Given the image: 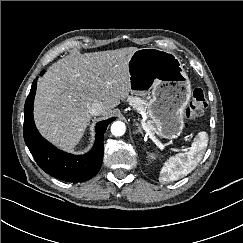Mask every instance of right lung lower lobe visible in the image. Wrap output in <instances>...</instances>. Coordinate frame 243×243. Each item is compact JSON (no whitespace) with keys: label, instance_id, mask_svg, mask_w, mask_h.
Masks as SVG:
<instances>
[{"label":"right lung lower lobe","instance_id":"obj_1","mask_svg":"<svg viewBox=\"0 0 243 243\" xmlns=\"http://www.w3.org/2000/svg\"><path fill=\"white\" fill-rule=\"evenodd\" d=\"M43 73L44 71L41 74ZM36 84L34 80L25 102L23 130L25 143L33 158L44 172L63 181L82 182L91 179L100 170L103 160V136L114 118L97 123L95 146L87 154L72 155L60 151L46 141L35 127L33 103Z\"/></svg>","mask_w":243,"mask_h":243}]
</instances>
